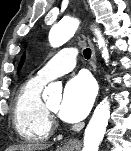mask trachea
<instances>
[{"instance_id": "3493384b", "label": "trachea", "mask_w": 131, "mask_h": 151, "mask_svg": "<svg viewBox=\"0 0 131 151\" xmlns=\"http://www.w3.org/2000/svg\"><path fill=\"white\" fill-rule=\"evenodd\" d=\"M83 54H84V57H85L86 59H89V58L91 57V49L86 48V49L84 50Z\"/></svg>"}]
</instances>
